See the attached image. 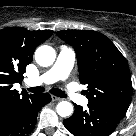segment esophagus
Wrapping results in <instances>:
<instances>
[{
	"mask_svg": "<svg viewBox=\"0 0 136 136\" xmlns=\"http://www.w3.org/2000/svg\"><path fill=\"white\" fill-rule=\"evenodd\" d=\"M51 98H52V101H54V102H58V101H61V100H62V98L57 97V96H55V95H52Z\"/></svg>",
	"mask_w": 136,
	"mask_h": 136,
	"instance_id": "esophagus-1",
	"label": "esophagus"
}]
</instances>
